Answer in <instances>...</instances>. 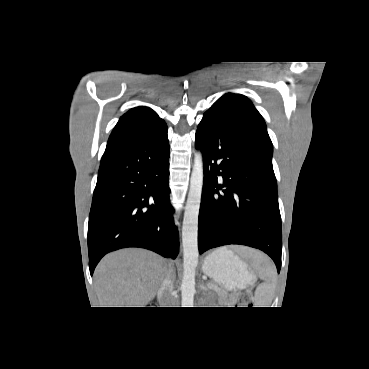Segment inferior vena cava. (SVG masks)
I'll list each match as a JSON object with an SVG mask.
<instances>
[{"label": "inferior vena cava", "instance_id": "1", "mask_svg": "<svg viewBox=\"0 0 369 369\" xmlns=\"http://www.w3.org/2000/svg\"><path fill=\"white\" fill-rule=\"evenodd\" d=\"M173 274L167 271L159 288L161 299L164 301V307H176L177 299L173 295Z\"/></svg>", "mask_w": 369, "mask_h": 369}]
</instances>
